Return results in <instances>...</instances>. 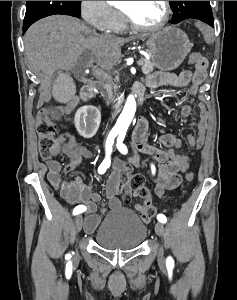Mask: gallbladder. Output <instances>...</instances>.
Instances as JSON below:
<instances>
[{
  "mask_svg": "<svg viewBox=\"0 0 237 300\" xmlns=\"http://www.w3.org/2000/svg\"><path fill=\"white\" fill-rule=\"evenodd\" d=\"M56 81L53 89L54 100L58 101L59 105H68L75 94V82H72L69 72H58Z\"/></svg>",
  "mask_w": 237,
  "mask_h": 300,
  "instance_id": "gallbladder-1",
  "label": "gallbladder"
}]
</instances>
